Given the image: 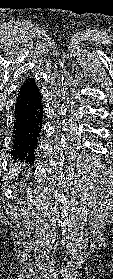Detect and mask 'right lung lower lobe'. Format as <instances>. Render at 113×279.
Segmentation results:
<instances>
[{"mask_svg":"<svg viewBox=\"0 0 113 279\" xmlns=\"http://www.w3.org/2000/svg\"><path fill=\"white\" fill-rule=\"evenodd\" d=\"M42 116L41 92L37 88L35 80L29 78L21 85L15 104L11 155L30 163L35 160Z\"/></svg>","mask_w":113,"mask_h":279,"instance_id":"98d812e1","label":"right lung lower lobe"}]
</instances>
